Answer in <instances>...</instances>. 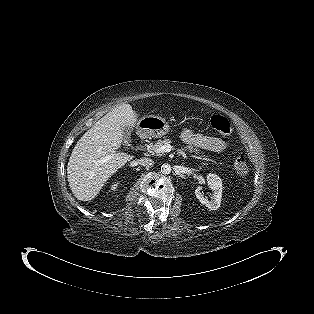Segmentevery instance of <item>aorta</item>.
I'll return each mask as SVG.
<instances>
[{
    "label": "aorta",
    "mask_w": 314,
    "mask_h": 314,
    "mask_svg": "<svg viewBox=\"0 0 314 314\" xmlns=\"http://www.w3.org/2000/svg\"><path fill=\"white\" fill-rule=\"evenodd\" d=\"M161 172L163 174H169L171 172V165L168 164V163H164L162 166H161Z\"/></svg>",
    "instance_id": "aorta-1"
}]
</instances>
